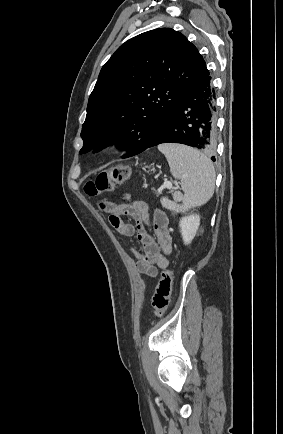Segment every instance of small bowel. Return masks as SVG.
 I'll return each mask as SVG.
<instances>
[{
    "label": "small bowel",
    "mask_w": 283,
    "mask_h": 434,
    "mask_svg": "<svg viewBox=\"0 0 283 434\" xmlns=\"http://www.w3.org/2000/svg\"><path fill=\"white\" fill-rule=\"evenodd\" d=\"M102 208L109 213L111 226L122 236L131 240L133 237L143 245L139 252L131 248L138 261V271L155 277L158 268H166L172 252V238L168 227V218L162 210H156L153 215L144 201H135L130 205L102 204ZM124 216H130L135 224L125 222Z\"/></svg>",
    "instance_id": "obj_1"
}]
</instances>
